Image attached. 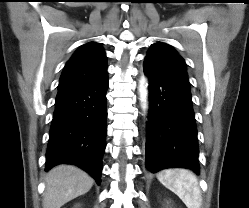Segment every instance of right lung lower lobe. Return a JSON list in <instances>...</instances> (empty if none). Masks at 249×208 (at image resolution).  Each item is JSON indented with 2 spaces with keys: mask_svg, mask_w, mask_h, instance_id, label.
I'll use <instances>...</instances> for the list:
<instances>
[{
  "mask_svg": "<svg viewBox=\"0 0 249 208\" xmlns=\"http://www.w3.org/2000/svg\"><path fill=\"white\" fill-rule=\"evenodd\" d=\"M107 74L96 81L58 92L49 133L45 171L74 164L101 181L107 133Z\"/></svg>",
  "mask_w": 249,
  "mask_h": 208,
  "instance_id": "98d812e1",
  "label": "right lung lower lobe"
}]
</instances>
